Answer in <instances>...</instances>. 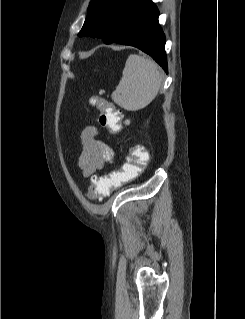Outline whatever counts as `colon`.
I'll return each mask as SVG.
<instances>
[{"instance_id": "colon-1", "label": "colon", "mask_w": 245, "mask_h": 319, "mask_svg": "<svg viewBox=\"0 0 245 319\" xmlns=\"http://www.w3.org/2000/svg\"><path fill=\"white\" fill-rule=\"evenodd\" d=\"M90 104L99 111V123L110 133L116 134L129 125L122 112L115 104L107 99L93 96ZM125 163L109 174H93L90 178L88 196L93 199L106 197L111 191L134 180L146 169L149 154L141 145H134L125 157Z\"/></svg>"}]
</instances>
